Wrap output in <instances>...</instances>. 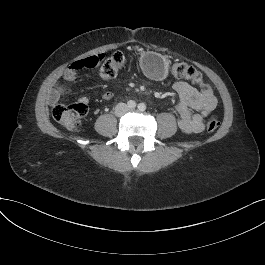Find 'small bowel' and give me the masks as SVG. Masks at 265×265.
Masks as SVG:
<instances>
[{
    "label": "small bowel",
    "mask_w": 265,
    "mask_h": 265,
    "mask_svg": "<svg viewBox=\"0 0 265 265\" xmlns=\"http://www.w3.org/2000/svg\"><path fill=\"white\" fill-rule=\"evenodd\" d=\"M74 77V73L70 71L65 73V79L67 80H72ZM173 89L178 96L176 110L180 129L186 134L203 131L205 118L217 105V99L211 88L186 79L175 82ZM70 90L66 86L57 85L49 95L50 104H56L59 98ZM102 98L109 101L113 98V93L106 91L102 94ZM79 102L87 104L89 98L82 96L79 98Z\"/></svg>",
    "instance_id": "c3829d8e"
}]
</instances>
